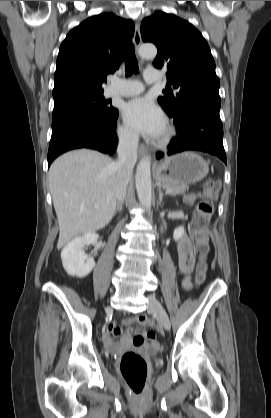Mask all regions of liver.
Segmentation results:
<instances>
[{
	"label": "liver",
	"instance_id": "liver-1",
	"mask_svg": "<svg viewBox=\"0 0 271 418\" xmlns=\"http://www.w3.org/2000/svg\"><path fill=\"white\" fill-rule=\"evenodd\" d=\"M116 176V162L94 150H74L52 163L48 180L60 229L58 249L112 220Z\"/></svg>",
	"mask_w": 271,
	"mask_h": 418
}]
</instances>
